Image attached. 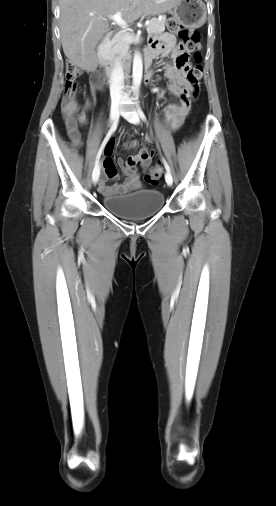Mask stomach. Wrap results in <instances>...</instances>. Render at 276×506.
<instances>
[{
  "label": "stomach",
  "mask_w": 276,
  "mask_h": 506,
  "mask_svg": "<svg viewBox=\"0 0 276 506\" xmlns=\"http://www.w3.org/2000/svg\"><path fill=\"white\" fill-rule=\"evenodd\" d=\"M177 22L197 28L206 21V5L202 0H180L171 11Z\"/></svg>",
  "instance_id": "obj_1"
}]
</instances>
